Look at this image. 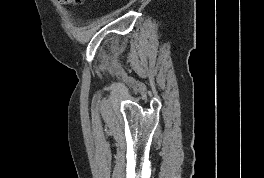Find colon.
Instances as JSON below:
<instances>
[{
    "instance_id": "5ec220e1",
    "label": "colon",
    "mask_w": 264,
    "mask_h": 178,
    "mask_svg": "<svg viewBox=\"0 0 264 178\" xmlns=\"http://www.w3.org/2000/svg\"><path fill=\"white\" fill-rule=\"evenodd\" d=\"M62 4L65 5H76V4H82L84 0H59Z\"/></svg>"
}]
</instances>
